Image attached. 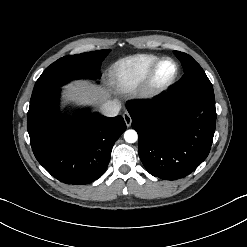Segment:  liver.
Wrapping results in <instances>:
<instances>
[{
  "label": "liver",
  "mask_w": 247,
  "mask_h": 247,
  "mask_svg": "<svg viewBox=\"0 0 247 247\" xmlns=\"http://www.w3.org/2000/svg\"><path fill=\"white\" fill-rule=\"evenodd\" d=\"M65 97L80 103L103 104L108 93L104 88L95 86L87 81H76L65 86Z\"/></svg>",
  "instance_id": "1"
}]
</instances>
